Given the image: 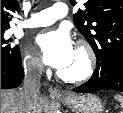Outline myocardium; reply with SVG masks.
<instances>
[{
  "label": "myocardium",
  "instance_id": "f54148a6",
  "mask_svg": "<svg viewBox=\"0 0 123 113\" xmlns=\"http://www.w3.org/2000/svg\"><path fill=\"white\" fill-rule=\"evenodd\" d=\"M76 51L82 55L84 59V67L82 71L73 75L65 74L59 70L57 76L62 81L68 83L84 82L90 79L95 72L96 55L91 45L84 40H80L77 44Z\"/></svg>",
  "mask_w": 123,
  "mask_h": 113
}]
</instances>
